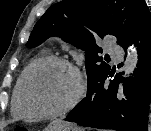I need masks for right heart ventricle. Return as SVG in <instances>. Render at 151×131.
Returning a JSON list of instances; mask_svg holds the SVG:
<instances>
[{"label": "right heart ventricle", "instance_id": "1", "mask_svg": "<svg viewBox=\"0 0 151 131\" xmlns=\"http://www.w3.org/2000/svg\"><path fill=\"white\" fill-rule=\"evenodd\" d=\"M44 52H42L39 56L35 57L34 59H32L27 66L24 68V70L22 71V73L20 74L16 85L14 87L13 93H12V98H11V113L14 117L16 118H21L24 117L25 115L21 112L19 105H18V96H19V91H20V86H21V81L23 78V75L25 73V71L27 70V68L37 59L43 57Z\"/></svg>", "mask_w": 151, "mask_h": 131}]
</instances>
